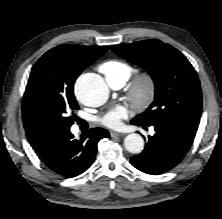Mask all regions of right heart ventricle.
Instances as JSON below:
<instances>
[{
	"label": "right heart ventricle",
	"instance_id": "1",
	"mask_svg": "<svg viewBox=\"0 0 222 219\" xmlns=\"http://www.w3.org/2000/svg\"><path fill=\"white\" fill-rule=\"evenodd\" d=\"M106 79L120 78L126 82L133 73V67L121 60H108L99 66Z\"/></svg>",
	"mask_w": 222,
	"mask_h": 219
}]
</instances>
